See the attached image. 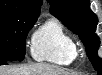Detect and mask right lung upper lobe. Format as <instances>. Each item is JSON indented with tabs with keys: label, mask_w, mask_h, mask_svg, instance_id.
Wrapping results in <instances>:
<instances>
[{
	"label": "right lung upper lobe",
	"mask_w": 102,
	"mask_h": 75,
	"mask_svg": "<svg viewBox=\"0 0 102 75\" xmlns=\"http://www.w3.org/2000/svg\"><path fill=\"white\" fill-rule=\"evenodd\" d=\"M42 0H0V12L39 15Z\"/></svg>",
	"instance_id": "1"
}]
</instances>
